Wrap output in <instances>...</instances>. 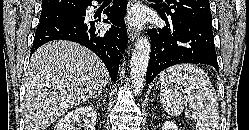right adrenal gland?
<instances>
[{
	"label": "right adrenal gland",
	"instance_id": "1",
	"mask_svg": "<svg viewBox=\"0 0 249 130\" xmlns=\"http://www.w3.org/2000/svg\"><path fill=\"white\" fill-rule=\"evenodd\" d=\"M104 89L100 90L97 95H95V99L99 100L100 95L103 93Z\"/></svg>",
	"mask_w": 249,
	"mask_h": 130
}]
</instances>
